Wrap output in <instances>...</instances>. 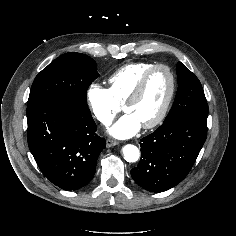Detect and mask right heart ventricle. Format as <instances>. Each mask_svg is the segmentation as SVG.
Masks as SVG:
<instances>
[{
  "instance_id": "right-heart-ventricle-1",
  "label": "right heart ventricle",
  "mask_w": 236,
  "mask_h": 236,
  "mask_svg": "<svg viewBox=\"0 0 236 236\" xmlns=\"http://www.w3.org/2000/svg\"><path fill=\"white\" fill-rule=\"evenodd\" d=\"M155 64L137 62L122 66L108 79L109 90L119 104H124L142 75Z\"/></svg>"
}]
</instances>
